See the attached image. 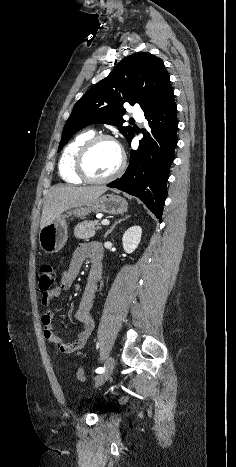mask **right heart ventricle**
<instances>
[{
    "label": "right heart ventricle",
    "instance_id": "right-heart-ventricle-1",
    "mask_svg": "<svg viewBox=\"0 0 236 467\" xmlns=\"http://www.w3.org/2000/svg\"><path fill=\"white\" fill-rule=\"evenodd\" d=\"M93 131H85L74 137L65 147L58 164L61 178L70 184H79L83 182L75 172V158L80 147L92 136Z\"/></svg>",
    "mask_w": 236,
    "mask_h": 467
}]
</instances>
